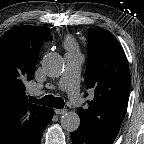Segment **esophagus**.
Wrapping results in <instances>:
<instances>
[{"label":"esophagus","mask_w":144,"mask_h":144,"mask_svg":"<svg viewBox=\"0 0 144 144\" xmlns=\"http://www.w3.org/2000/svg\"><path fill=\"white\" fill-rule=\"evenodd\" d=\"M55 113L58 115H63L67 113V109H55Z\"/></svg>","instance_id":"obj_1"}]
</instances>
